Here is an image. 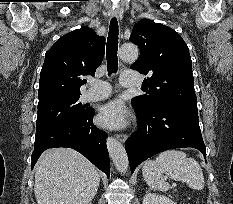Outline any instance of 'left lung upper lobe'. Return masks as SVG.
Segmentation results:
<instances>
[{"mask_svg":"<svg viewBox=\"0 0 233 204\" xmlns=\"http://www.w3.org/2000/svg\"><path fill=\"white\" fill-rule=\"evenodd\" d=\"M130 41L141 50L131 69L147 75L143 81L146 94L131 100L134 108L146 109L161 102L197 106L188 46L176 31L142 19L134 25Z\"/></svg>","mask_w":233,"mask_h":204,"instance_id":"1","label":"left lung upper lobe"}]
</instances>
